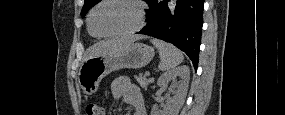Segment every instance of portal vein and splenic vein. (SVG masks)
Returning <instances> with one entry per match:
<instances>
[{"label": "portal vein and splenic vein", "instance_id": "1", "mask_svg": "<svg viewBox=\"0 0 285 115\" xmlns=\"http://www.w3.org/2000/svg\"><path fill=\"white\" fill-rule=\"evenodd\" d=\"M145 75H146V76H149V75H150V72H149V71H146V72H145Z\"/></svg>", "mask_w": 285, "mask_h": 115}]
</instances>
